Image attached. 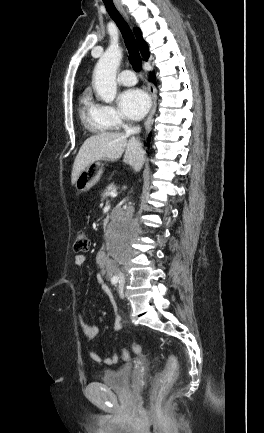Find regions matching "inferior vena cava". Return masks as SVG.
Segmentation results:
<instances>
[{
    "mask_svg": "<svg viewBox=\"0 0 264 433\" xmlns=\"http://www.w3.org/2000/svg\"><path fill=\"white\" fill-rule=\"evenodd\" d=\"M124 129H125L126 135L138 134L140 132V130H141L140 126H133V127H131V126H128V125H125ZM116 252H123V251H116ZM119 276L123 277V274L120 272Z\"/></svg>",
    "mask_w": 264,
    "mask_h": 433,
    "instance_id": "obj_1",
    "label": "inferior vena cava"
}]
</instances>
